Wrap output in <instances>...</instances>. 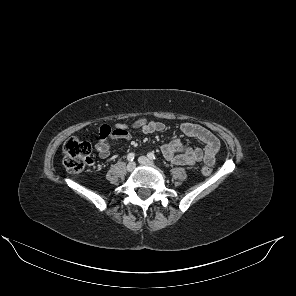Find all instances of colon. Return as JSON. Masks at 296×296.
Returning a JSON list of instances; mask_svg holds the SVG:
<instances>
[{
    "mask_svg": "<svg viewBox=\"0 0 296 296\" xmlns=\"http://www.w3.org/2000/svg\"><path fill=\"white\" fill-rule=\"evenodd\" d=\"M91 146L88 142L81 141L76 137L69 138L63 147V164L65 168L74 174L83 171L85 166L92 161ZM213 165L205 163L202 167V173L209 175L212 172Z\"/></svg>",
    "mask_w": 296,
    "mask_h": 296,
    "instance_id": "1",
    "label": "colon"
}]
</instances>
